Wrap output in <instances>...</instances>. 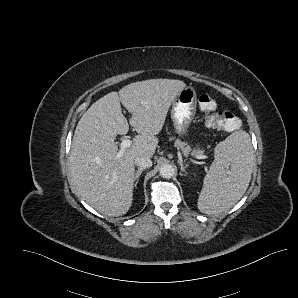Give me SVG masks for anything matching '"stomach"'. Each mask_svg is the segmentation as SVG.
<instances>
[{
	"mask_svg": "<svg viewBox=\"0 0 298 298\" xmlns=\"http://www.w3.org/2000/svg\"><path fill=\"white\" fill-rule=\"evenodd\" d=\"M197 107V92L186 85L172 101L171 118L178 133L185 132L194 118Z\"/></svg>",
	"mask_w": 298,
	"mask_h": 298,
	"instance_id": "0dacf381",
	"label": "stomach"
}]
</instances>
